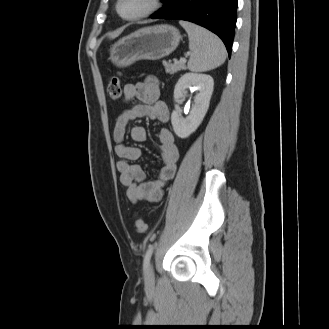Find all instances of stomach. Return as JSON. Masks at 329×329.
Masks as SVG:
<instances>
[{
  "label": "stomach",
  "instance_id": "1",
  "mask_svg": "<svg viewBox=\"0 0 329 329\" xmlns=\"http://www.w3.org/2000/svg\"><path fill=\"white\" fill-rule=\"evenodd\" d=\"M180 39V32L171 25L145 27L112 45L109 59L118 67H126L142 59L158 60L172 53Z\"/></svg>",
  "mask_w": 329,
  "mask_h": 329
}]
</instances>
